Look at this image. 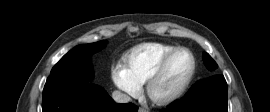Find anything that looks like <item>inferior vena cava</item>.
Wrapping results in <instances>:
<instances>
[{"label":"inferior vena cava","instance_id":"inferior-vena-cava-1","mask_svg":"<svg viewBox=\"0 0 270 112\" xmlns=\"http://www.w3.org/2000/svg\"><path fill=\"white\" fill-rule=\"evenodd\" d=\"M112 98L117 103H128L130 101V97L127 94H124L118 90L113 91Z\"/></svg>","mask_w":270,"mask_h":112}]
</instances>
